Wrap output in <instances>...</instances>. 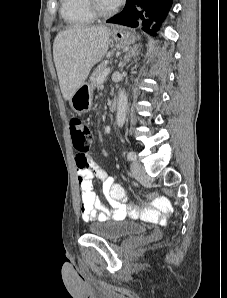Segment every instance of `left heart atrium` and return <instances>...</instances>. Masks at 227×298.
Masks as SVG:
<instances>
[{
  "label": "left heart atrium",
  "instance_id": "left-heart-atrium-1",
  "mask_svg": "<svg viewBox=\"0 0 227 298\" xmlns=\"http://www.w3.org/2000/svg\"><path fill=\"white\" fill-rule=\"evenodd\" d=\"M106 1L110 6L114 7V6L119 5L122 0H106Z\"/></svg>",
  "mask_w": 227,
  "mask_h": 298
}]
</instances>
